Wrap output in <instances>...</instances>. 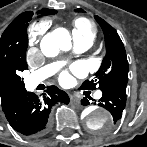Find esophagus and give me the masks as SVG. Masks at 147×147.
Masks as SVG:
<instances>
[{
	"label": "esophagus",
	"mask_w": 147,
	"mask_h": 147,
	"mask_svg": "<svg viewBox=\"0 0 147 147\" xmlns=\"http://www.w3.org/2000/svg\"><path fill=\"white\" fill-rule=\"evenodd\" d=\"M70 102L72 104H79L80 103V98L77 96H70Z\"/></svg>",
	"instance_id": "34e87169"
}]
</instances>
